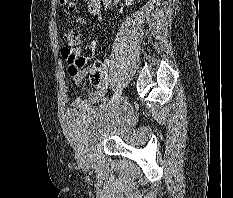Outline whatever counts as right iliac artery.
I'll list each match as a JSON object with an SVG mask.
<instances>
[{
    "instance_id": "obj_1",
    "label": "right iliac artery",
    "mask_w": 233,
    "mask_h": 198,
    "mask_svg": "<svg viewBox=\"0 0 233 198\" xmlns=\"http://www.w3.org/2000/svg\"><path fill=\"white\" fill-rule=\"evenodd\" d=\"M120 94H121V86L118 84L117 90H116L115 94L113 95V97L111 98V100L109 101V103L115 102L120 97Z\"/></svg>"
}]
</instances>
